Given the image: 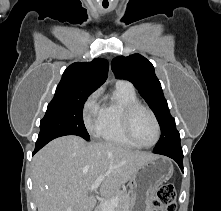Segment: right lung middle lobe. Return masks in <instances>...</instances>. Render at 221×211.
<instances>
[{
	"instance_id": "right-lung-middle-lobe-1",
	"label": "right lung middle lobe",
	"mask_w": 221,
	"mask_h": 211,
	"mask_svg": "<svg viewBox=\"0 0 221 211\" xmlns=\"http://www.w3.org/2000/svg\"><path fill=\"white\" fill-rule=\"evenodd\" d=\"M90 94L67 98H53L48 104L46 114L40 121L37 142L53 140L65 135H77L89 140L82 111Z\"/></svg>"
}]
</instances>
